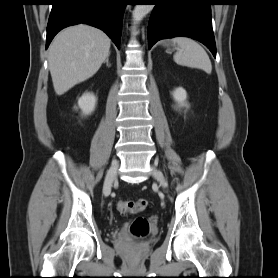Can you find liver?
I'll list each match as a JSON object with an SVG mask.
<instances>
[{"label": "liver", "instance_id": "1", "mask_svg": "<svg viewBox=\"0 0 278 278\" xmlns=\"http://www.w3.org/2000/svg\"><path fill=\"white\" fill-rule=\"evenodd\" d=\"M110 39L100 29L75 25L63 29L49 48V70L57 95L92 77L110 54Z\"/></svg>", "mask_w": 278, "mask_h": 278}]
</instances>
